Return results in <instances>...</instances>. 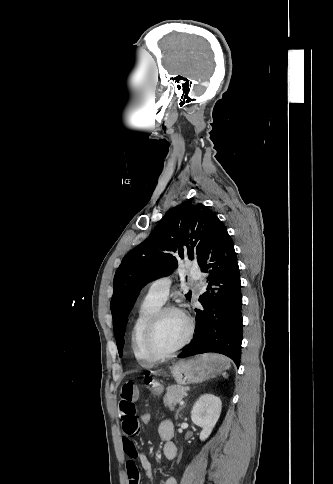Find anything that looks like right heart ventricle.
I'll list each match as a JSON object with an SVG mask.
<instances>
[{
  "instance_id": "obj_1",
  "label": "right heart ventricle",
  "mask_w": 333,
  "mask_h": 484,
  "mask_svg": "<svg viewBox=\"0 0 333 484\" xmlns=\"http://www.w3.org/2000/svg\"><path fill=\"white\" fill-rule=\"evenodd\" d=\"M161 306V303L146 296L139 306L132 325L131 348L135 358L143 366H150L157 361L145 352L143 347V336L148 321Z\"/></svg>"
}]
</instances>
